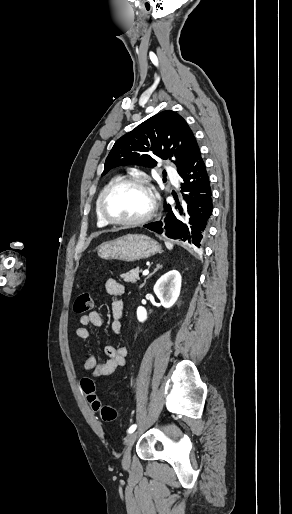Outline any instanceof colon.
Masks as SVG:
<instances>
[{"label":"colon","instance_id":"1","mask_svg":"<svg viewBox=\"0 0 292 514\" xmlns=\"http://www.w3.org/2000/svg\"><path fill=\"white\" fill-rule=\"evenodd\" d=\"M92 306V294L83 292L77 296L74 303V310L77 314H86L92 309ZM81 387L85 393L90 394L87 398V402L92 405L93 409L99 413L100 417L104 421L112 420L116 417L117 412L115 408L104 405L95 395H93L96 392V389L92 376L89 373H86L83 376Z\"/></svg>","mask_w":292,"mask_h":514}]
</instances>
